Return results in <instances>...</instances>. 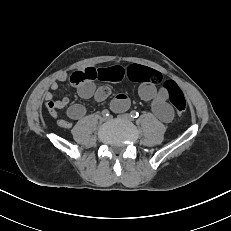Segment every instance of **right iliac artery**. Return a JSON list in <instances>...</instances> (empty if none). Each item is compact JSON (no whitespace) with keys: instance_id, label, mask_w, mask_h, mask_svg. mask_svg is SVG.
Returning a JSON list of instances; mask_svg holds the SVG:
<instances>
[{"instance_id":"obj_1","label":"right iliac artery","mask_w":231,"mask_h":231,"mask_svg":"<svg viewBox=\"0 0 231 231\" xmlns=\"http://www.w3.org/2000/svg\"><path fill=\"white\" fill-rule=\"evenodd\" d=\"M109 110H107V109H104L103 111H102V115L103 116H109Z\"/></svg>"}]
</instances>
